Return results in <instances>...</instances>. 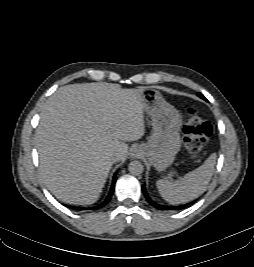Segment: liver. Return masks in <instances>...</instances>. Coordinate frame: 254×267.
<instances>
[{
    "label": "liver",
    "mask_w": 254,
    "mask_h": 267,
    "mask_svg": "<svg viewBox=\"0 0 254 267\" xmlns=\"http://www.w3.org/2000/svg\"><path fill=\"white\" fill-rule=\"evenodd\" d=\"M144 89L70 84L48 98L34 139L39 178L58 199L75 205L96 202L116 154L125 160L126 142L145 135Z\"/></svg>",
    "instance_id": "liver-1"
}]
</instances>
